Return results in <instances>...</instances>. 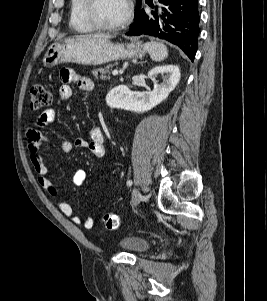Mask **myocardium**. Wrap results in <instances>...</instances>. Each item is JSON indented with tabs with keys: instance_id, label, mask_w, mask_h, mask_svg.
Wrapping results in <instances>:
<instances>
[{
	"instance_id": "1",
	"label": "myocardium",
	"mask_w": 267,
	"mask_h": 301,
	"mask_svg": "<svg viewBox=\"0 0 267 301\" xmlns=\"http://www.w3.org/2000/svg\"><path fill=\"white\" fill-rule=\"evenodd\" d=\"M97 0H85L84 14L89 24L96 30L116 31L124 28L129 24L133 14V1L125 0L126 10L124 16L115 24L106 25L100 22L95 15V6Z\"/></svg>"
}]
</instances>
